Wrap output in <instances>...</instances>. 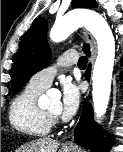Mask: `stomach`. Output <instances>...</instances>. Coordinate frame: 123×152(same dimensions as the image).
Listing matches in <instances>:
<instances>
[{"label":"stomach","instance_id":"1","mask_svg":"<svg viewBox=\"0 0 123 152\" xmlns=\"http://www.w3.org/2000/svg\"><path fill=\"white\" fill-rule=\"evenodd\" d=\"M60 152H71L69 148H62Z\"/></svg>","mask_w":123,"mask_h":152}]
</instances>
